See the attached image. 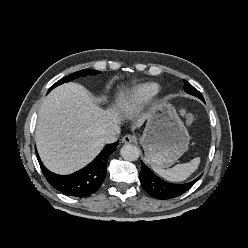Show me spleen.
Returning <instances> with one entry per match:
<instances>
[{
	"label": "spleen",
	"instance_id": "3e777b00",
	"mask_svg": "<svg viewBox=\"0 0 248 248\" xmlns=\"http://www.w3.org/2000/svg\"><path fill=\"white\" fill-rule=\"evenodd\" d=\"M200 158L196 157L188 163L177 164L171 169H161L158 167H153V170L171 182H181L186 180L199 166Z\"/></svg>",
	"mask_w": 248,
	"mask_h": 248
}]
</instances>
